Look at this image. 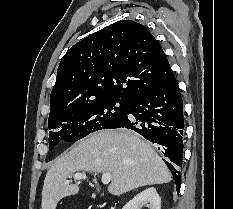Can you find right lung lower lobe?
I'll return each instance as SVG.
<instances>
[{"label":"right lung lower lobe","mask_w":233,"mask_h":209,"mask_svg":"<svg viewBox=\"0 0 233 209\" xmlns=\"http://www.w3.org/2000/svg\"><path fill=\"white\" fill-rule=\"evenodd\" d=\"M132 129L164 154L177 188L180 189L183 155V101L172 71L155 87L131 97L124 118L107 129Z\"/></svg>","instance_id":"right-lung-lower-lobe-1"}]
</instances>
